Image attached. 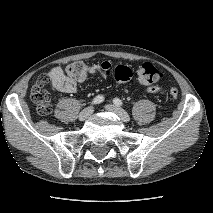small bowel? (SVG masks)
<instances>
[{
  "mask_svg": "<svg viewBox=\"0 0 213 213\" xmlns=\"http://www.w3.org/2000/svg\"><path fill=\"white\" fill-rule=\"evenodd\" d=\"M94 72H98L104 76H111L112 65L109 62H102L93 67ZM47 79L50 81L52 87L59 93L70 94L76 90V81L71 79L61 67L52 68ZM159 91L157 86L148 87V92L156 93Z\"/></svg>",
  "mask_w": 213,
  "mask_h": 213,
  "instance_id": "obj_1",
  "label": "small bowel"
}]
</instances>
